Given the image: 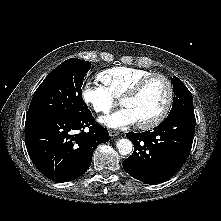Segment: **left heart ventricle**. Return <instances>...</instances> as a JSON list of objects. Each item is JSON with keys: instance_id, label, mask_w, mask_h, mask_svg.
Returning a JSON list of instances; mask_svg holds the SVG:
<instances>
[{"instance_id": "obj_1", "label": "left heart ventricle", "mask_w": 221, "mask_h": 221, "mask_svg": "<svg viewBox=\"0 0 221 221\" xmlns=\"http://www.w3.org/2000/svg\"><path fill=\"white\" fill-rule=\"evenodd\" d=\"M168 96V88L161 79L149 81L140 94L122 104L134 115L136 122H147L156 117L165 105Z\"/></svg>"}]
</instances>
